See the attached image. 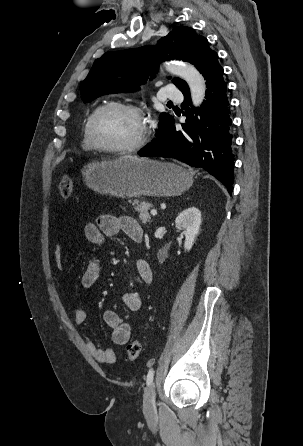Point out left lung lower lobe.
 Returning <instances> with one entry per match:
<instances>
[{"label": "left lung lower lobe", "instance_id": "0a47b994", "mask_svg": "<svg viewBox=\"0 0 303 446\" xmlns=\"http://www.w3.org/2000/svg\"><path fill=\"white\" fill-rule=\"evenodd\" d=\"M206 79V100L199 108H190L189 87L181 92L186 123L177 131L174 118L158 130L156 139L138 154L142 157L175 158L192 167H200L217 178L232 193L234 182L233 155L229 128V102L226 97V83L223 68L215 54L202 72Z\"/></svg>", "mask_w": 303, "mask_h": 446}]
</instances>
